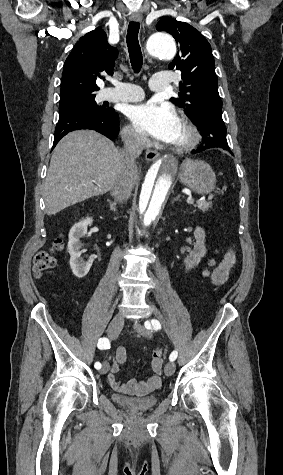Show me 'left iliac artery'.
Here are the masks:
<instances>
[{
  "mask_svg": "<svg viewBox=\"0 0 283 475\" xmlns=\"http://www.w3.org/2000/svg\"><path fill=\"white\" fill-rule=\"evenodd\" d=\"M151 324H152L153 329H155V330L161 329V324L159 323L158 320L154 319V320L151 321V323L149 321H146L145 322V327L147 329H151ZM177 356H178L177 351H173L169 356L170 361H174L177 358Z\"/></svg>",
  "mask_w": 283,
  "mask_h": 475,
  "instance_id": "44dca946",
  "label": "left iliac artery"
}]
</instances>
